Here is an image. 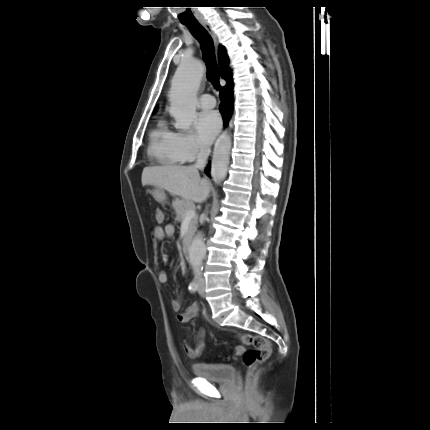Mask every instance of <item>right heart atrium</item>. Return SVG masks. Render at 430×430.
I'll return each instance as SVG.
<instances>
[{
    "label": "right heart atrium",
    "mask_w": 430,
    "mask_h": 430,
    "mask_svg": "<svg viewBox=\"0 0 430 430\" xmlns=\"http://www.w3.org/2000/svg\"><path fill=\"white\" fill-rule=\"evenodd\" d=\"M176 148L184 162L193 161L205 155L208 149L200 144L191 133H176Z\"/></svg>",
    "instance_id": "1"
}]
</instances>
